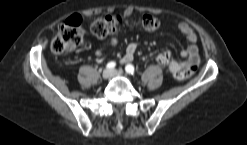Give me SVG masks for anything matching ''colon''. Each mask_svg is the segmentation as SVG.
<instances>
[{"mask_svg":"<svg viewBox=\"0 0 247 145\" xmlns=\"http://www.w3.org/2000/svg\"><path fill=\"white\" fill-rule=\"evenodd\" d=\"M140 26L149 32L156 31L159 26V20L153 15H143L139 19ZM125 25V20L120 15H105L98 17L92 21L89 30L92 35L98 38H104L108 35L117 33ZM84 30L82 27V20L79 16H73L63 22L59 28L56 36L51 42V51L54 54L61 55L72 52L78 47L83 40ZM158 61L167 65L170 62L168 54L163 53L158 56ZM196 70L191 69L187 72H176L175 76L179 79L191 77Z\"/></svg>","mask_w":247,"mask_h":145,"instance_id":"5ec220e1","label":"colon"}]
</instances>
